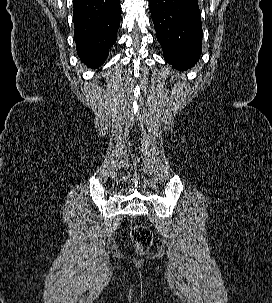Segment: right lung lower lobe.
Masks as SVG:
<instances>
[{
	"label": "right lung lower lobe",
	"mask_w": 272,
	"mask_h": 303,
	"mask_svg": "<svg viewBox=\"0 0 272 303\" xmlns=\"http://www.w3.org/2000/svg\"><path fill=\"white\" fill-rule=\"evenodd\" d=\"M74 40L81 61L100 67L116 42L120 0H73Z\"/></svg>",
	"instance_id": "obj_1"
}]
</instances>
